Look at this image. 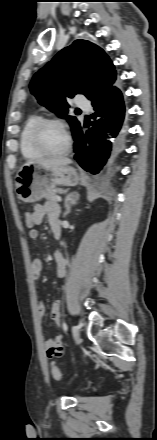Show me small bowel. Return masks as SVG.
<instances>
[{
    "mask_svg": "<svg viewBox=\"0 0 157 440\" xmlns=\"http://www.w3.org/2000/svg\"><path fill=\"white\" fill-rule=\"evenodd\" d=\"M47 216L48 223L50 228L53 230L55 226H59V215L60 208L57 203L53 201H48L44 204H37L33 210V216L36 222V226L42 224L44 220V216ZM60 227V226H59ZM29 237L33 240L38 239L39 232L36 228L31 229L29 231ZM55 259L57 262V270L59 275H64L66 270V261L63 254L59 251L55 253ZM31 272L34 279H38L42 272V261L38 258L34 259L31 264ZM37 313L40 321H43L46 315V307L42 302H39L37 307ZM61 314H62V302L60 300H56L51 305V317L53 321L57 324H61ZM61 346L62 344V336L58 335L53 339H47L45 341V348L47 350V354L51 357L50 351L55 346Z\"/></svg>",
    "mask_w": 157,
    "mask_h": 440,
    "instance_id": "c3829d8e",
    "label": "small bowel"
}]
</instances>
